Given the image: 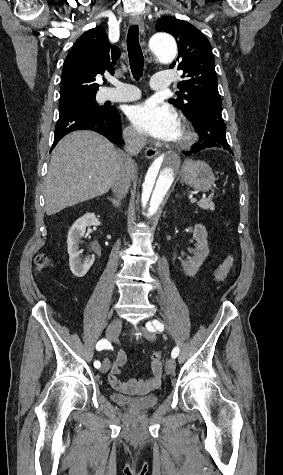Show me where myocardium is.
I'll list each match as a JSON object with an SVG mask.
<instances>
[{"label": "myocardium", "mask_w": 283, "mask_h": 475, "mask_svg": "<svg viewBox=\"0 0 283 475\" xmlns=\"http://www.w3.org/2000/svg\"><path fill=\"white\" fill-rule=\"evenodd\" d=\"M195 140V131L188 123L187 119L181 115L180 117V136L176 142V148L179 150H185L191 146Z\"/></svg>", "instance_id": "f54148a6"}]
</instances>
